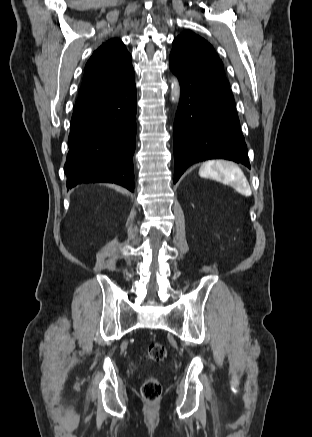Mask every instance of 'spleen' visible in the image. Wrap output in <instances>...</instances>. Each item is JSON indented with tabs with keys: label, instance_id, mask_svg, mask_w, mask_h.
<instances>
[{
	"label": "spleen",
	"instance_id": "3e777b00",
	"mask_svg": "<svg viewBox=\"0 0 312 437\" xmlns=\"http://www.w3.org/2000/svg\"><path fill=\"white\" fill-rule=\"evenodd\" d=\"M199 175L230 185L243 195L249 196L251 194V188L246 176L237 165L231 162L224 160L208 161L200 167Z\"/></svg>",
	"mask_w": 312,
	"mask_h": 437
}]
</instances>
